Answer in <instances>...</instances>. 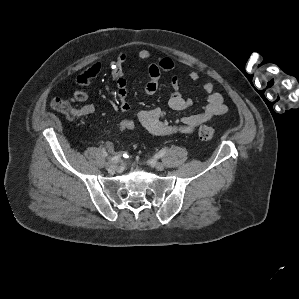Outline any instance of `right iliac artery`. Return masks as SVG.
<instances>
[{
  "label": "right iliac artery",
  "instance_id": "obj_1",
  "mask_svg": "<svg viewBox=\"0 0 299 299\" xmlns=\"http://www.w3.org/2000/svg\"><path fill=\"white\" fill-rule=\"evenodd\" d=\"M101 150H102V152H103V155H104L105 157H108V153H107V151L105 150V148H102ZM108 159H109L111 162H113V163H117V162H119V160H120V156L108 157Z\"/></svg>",
  "mask_w": 299,
  "mask_h": 299
}]
</instances>
